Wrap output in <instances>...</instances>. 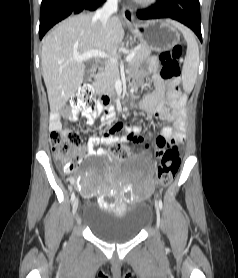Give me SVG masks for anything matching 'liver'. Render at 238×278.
Wrapping results in <instances>:
<instances>
[{
	"label": "liver",
	"mask_w": 238,
	"mask_h": 278,
	"mask_svg": "<svg viewBox=\"0 0 238 278\" xmlns=\"http://www.w3.org/2000/svg\"><path fill=\"white\" fill-rule=\"evenodd\" d=\"M123 38L118 17L103 27L93 14L71 16L44 38L41 66L51 112L64 107L83 82L85 64L74 57L90 50L114 52Z\"/></svg>",
	"instance_id": "liver-1"
}]
</instances>
